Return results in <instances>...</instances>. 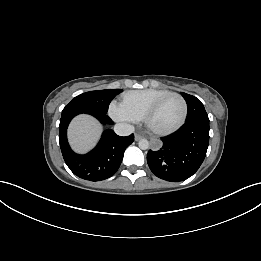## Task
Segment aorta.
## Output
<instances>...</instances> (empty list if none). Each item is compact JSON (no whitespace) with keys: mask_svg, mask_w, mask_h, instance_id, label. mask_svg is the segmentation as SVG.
<instances>
[{"mask_svg":"<svg viewBox=\"0 0 261 261\" xmlns=\"http://www.w3.org/2000/svg\"><path fill=\"white\" fill-rule=\"evenodd\" d=\"M138 146L142 150H146L149 148V141L146 139H141L138 143Z\"/></svg>","mask_w":261,"mask_h":261,"instance_id":"762f6f07","label":"aorta"}]
</instances>
